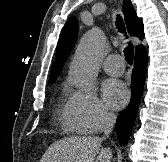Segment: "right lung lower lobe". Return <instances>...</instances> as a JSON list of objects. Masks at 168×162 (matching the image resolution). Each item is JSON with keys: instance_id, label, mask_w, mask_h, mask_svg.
<instances>
[{"instance_id": "1", "label": "right lung lower lobe", "mask_w": 168, "mask_h": 162, "mask_svg": "<svg viewBox=\"0 0 168 162\" xmlns=\"http://www.w3.org/2000/svg\"><path fill=\"white\" fill-rule=\"evenodd\" d=\"M148 56L146 50L140 51L135 55V65L132 72L131 102L116 122V132L118 141L124 145L127 144L134 125L139 102L142 97L145 75L147 70Z\"/></svg>"}]
</instances>
